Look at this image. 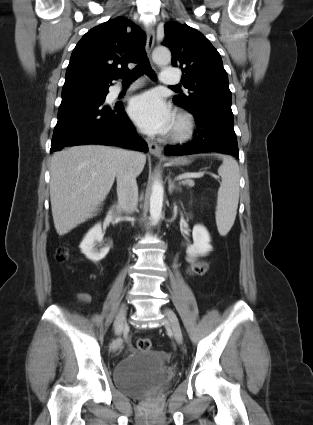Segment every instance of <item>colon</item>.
<instances>
[{
	"mask_svg": "<svg viewBox=\"0 0 313 425\" xmlns=\"http://www.w3.org/2000/svg\"><path fill=\"white\" fill-rule=\"evenodd\" d=\"M68 258V251L65 247L59 248L56 253V260L58 262H64ZM208 269L207 263H202L199 266H192L187 269V274L190 277L202 276ZM136 346L141 351H149L152 349V342L148 338H139L136 342Z\"/></svg>",
	"mask_w": 313,
	"mask_h": 425,
	"instance_id": "5ec220e1",
	"label": "colon"
}]
</instances>
